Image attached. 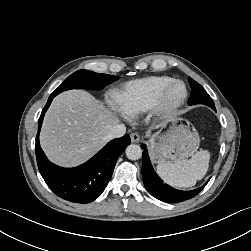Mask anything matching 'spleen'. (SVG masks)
Listing matches in <instances>:
<instances>
[{
    "label": "spleen",
    "instance_id": "spleen-1",
    "mask_svg": "<svg viewBox=\"0 0 251 251\" xmlns=\"http://www.w3.org/2000/svg\"><path fill=\"white\" fill-rule=\"evenodd\" d=\"M209 160L208 151H199L187 161L159 163L156 169L164 182L169 185L180 188L191 187L205 176Z\"/></svg>",
    "mask_w": 251,
    "mask_h": 251
}]
</instances>
